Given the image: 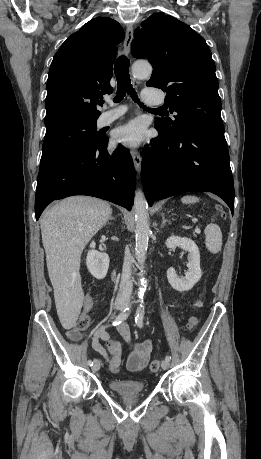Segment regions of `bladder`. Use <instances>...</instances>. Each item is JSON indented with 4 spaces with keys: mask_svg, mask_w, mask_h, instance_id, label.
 Wrapping results in <instances>:
<instances>
[{
    "mask_svg": "<svg viewBox=\"0 0 261 459\" xmlns=\"http://www.w3.org/2000/svg\"><path fill=\"white\" fill-rule=\"evenodd\" d=\"M108 388L118 395H137L146 391L142 381L132 379H112L108 382Z\"/></svg>",
    "mask_w": 261,
    "mask_h": 459,
    "instance_id": "1",
    "label": "bladder"
}]
</instances>
